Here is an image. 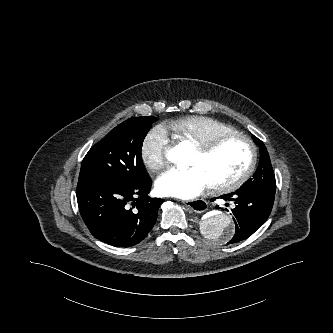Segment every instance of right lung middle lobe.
Here are the masks:
<instances>
[{
    "mask_svg": "<svg viewBox=\"0 0 333 333\" xmlns=\"http://www.w3.org/2000/svg\"><path fill=\"white\" fill-rule=\"evenodd\" d=\"M157 118H130L112 129L84 157L78 184L94 181H121L137 184L147 176L141 148Z\"/></svg>",
    "mask_w": 333,
    "mask_h": 333,
    "instance_id": "1",
    "label": "right lung middle lobe"
}]
</instances>
